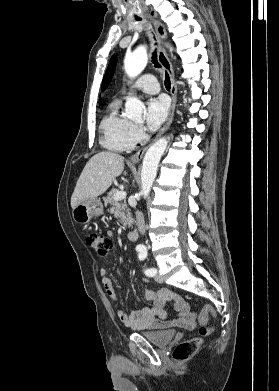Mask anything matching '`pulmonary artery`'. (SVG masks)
Returning <instances> with one entry per match:
<instances>
[{
	"label": "pulmonary artery",
	"instance_id": "pulmonary-artery-1",
	"mask_svg": "<svg viewBox=\"0 0 279 391\" xmlns=\"http://www.w3.org/2000/svg\"><path fill=\"white\" fill-rule=\"evenodd\" d=\"M134 87L137 90L150 94L158 93L160 89L156 77L151 73L143 75Z\"/></svg>",
	"mask_w": 279,
	"mask_h": 391
}]
</instances>
